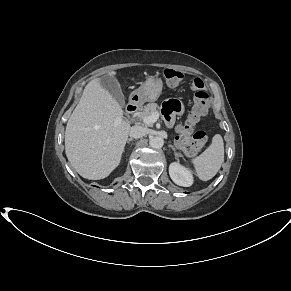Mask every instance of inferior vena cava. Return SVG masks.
Wrapping results in <instances>:
<instances>
[{
	"label": "inferior vena cava",
	"instance_id": "1",
	"mask_svg": "<svg viewBox=\"0 0 291 291\" xmlns=\"http://www.w3.org/2000/svg\"><path fill=\"white\" fill-rule=\"evenodd\" d=\"M147 134V129L142 126H133L130 129L129 136L131 138H140Z\"/></svg>",
	"mask_w": 291,
	"mask_h": 291
}]
</instances>
